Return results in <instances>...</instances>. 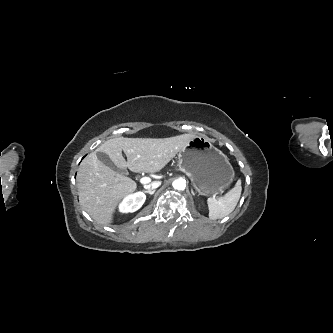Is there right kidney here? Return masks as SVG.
<instances>
[{
	"instance_id": "obj_1",
	"label": "right kidney",
	"mask_w": 333,
	"mask_h": 333,
	"mask_svg": "<svg viewBox=\"0 0 333 333\" xmlns=\"http://www.w3.org/2000/svg\"><path fill=\"white\" fill-rule=\"evenodd\" d=\"M146 200V196L142 192H137L131 195H128L124 198L120 204V211L122 213L135 212L141 208Z\"/></svg>"
}]
</instances>
